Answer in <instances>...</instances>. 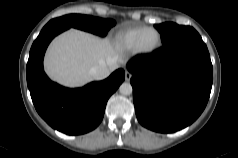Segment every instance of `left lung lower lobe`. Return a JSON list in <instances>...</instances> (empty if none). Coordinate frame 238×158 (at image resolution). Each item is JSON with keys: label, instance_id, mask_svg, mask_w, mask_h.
<instances>
[{"label": "left lung lower lobe", "instance_id": "left-lung-lower-lobe-1", "mask_svg": "<svg viewBox=\"0 0 238 158\" xmlns=\"http://www.w3.org/2000/svg\"><path fill=\"white\" fill-rule=\"evenodd\" d=\"M133 101L138 121L161 133H172L193 123L208 102L213 68L200 35L175 38L152 54L133 57Z\"/></svg>", "mask_w": 238, "mask_h": 158}]
</instances>
